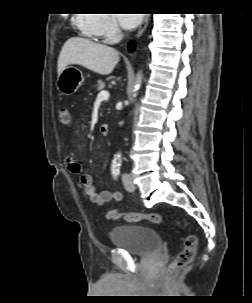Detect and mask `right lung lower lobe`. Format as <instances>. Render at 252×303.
<instances>
[{"label": "right lung lower lobe", "mask_w": 252, "mask_h": 303, "mask_svg": "<svg viewBox=\"0 0 252 303\" xmlns=\"http://www.w3.org/2000/svg\"><path fill=\"white\" fill-rule=\"evenodd\" d=\"M134 47H135L134 42H133V41H130L129 44H128V49H129V50H133Z\"/></svg>", "instance_id": "obj_1"}]
</instances>
